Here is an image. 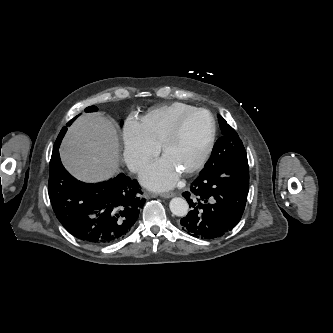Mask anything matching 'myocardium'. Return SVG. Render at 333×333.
Returning a JSON list of instances; mask_svg holds the SVG:
<instances>
[{
  "instance_id": "f54148a6",
  "label": "myocardium",
  "mask_w": 333,
  "mask_h": 333,
  "mask_svg": "<svg viewBox=\"0 0 333 333\" xmlns=\"http://www.w3.org/2000/svg\"><path fill=\"white\" fill-rule=\"evenodd\" d=\"M198 112H204L209 116L210 131H209V135L207 137L205 146H204L199 158L197 159V161L193 165H191L190 167H188L187 169H185L184 171L181 172V174L184 176L191 175V174L195 173L196 171H198L199 169H201L207 162V160L212 152L214 142H215V137H216V130H217L216 120H215L213 114L208 109L202 108V107H195V108L183 113L177 119V121L174 123V125L171 127V129L166 134V136L164 137V139L160 145L161 153L164 155L166 150L168 149V147L171 144H173L180 136V133L182 131L185 121L191 115L198 113Z\"/></svg>"
}]
</instances>
